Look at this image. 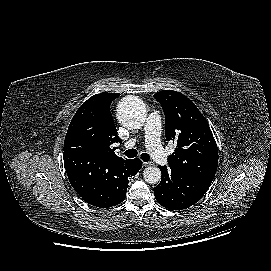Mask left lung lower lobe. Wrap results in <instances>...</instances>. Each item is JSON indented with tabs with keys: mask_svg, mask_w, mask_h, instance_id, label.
<instances>
[{
	"mask_svg": "<svg viewBox=\"0 0 271 271\" xmlns=\"http://www.w3.org/2000/svg\"><path fill=\"white\" fill-rule=\"evenodd\" d=\"M161 182L154 188L157 202L172 210L186 209L197 203L209 186L189 177L185 173L159 166Z\"/></svg>",
	"mask_w": 271,
	"mask_h": 271,
	"instance_id": "left-lung-lower-lobe-1",
	"label": "left lung lower lobe"
}]
</instances>
